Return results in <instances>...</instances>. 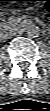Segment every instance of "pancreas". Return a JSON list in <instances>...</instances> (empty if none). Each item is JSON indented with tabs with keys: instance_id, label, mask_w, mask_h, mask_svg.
Returning a JSON list of instances; mask_svg holds the SVG:
<instances>
[{
	"instance_id": "obj_1",
	"label": "pancreas",
	"mask_w": 50,
	"mask_h": 111,
	"mask_svg": "<svg viewBox=\"0 0 50 111\" xmlns=\"http://www.w3.org/2000/svg\"><path fill=\"white\" fill-rule=\"evenodd\" d=\"M13 25H15V20L14 19H10L9 21H7L4 24V27H12Z\"/></svg>"
}]
</instances>
